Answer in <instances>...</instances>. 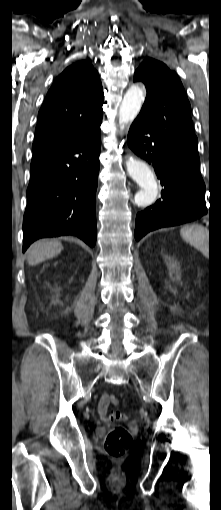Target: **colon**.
Instances as JSON below:
<instances>
[{
	"label": "colon",
	"mask_w": 221,
	"mask_h": 510,
	"mask_svg": "<svg viewBox=\"0 0 221 510\" xmlns=\"http://www.w3.org/2000/svg\"><path fill=\"white\" fill-rule=\"evenodd\" d=\"M118 399L112 396L110 404L118 405ZM110 422L125 421L126 416L122 413L113 411L109 415ZM133 439L128 430L122 426H115L106 435L104 448L106 453L113 458L124 456L132 447Z\"/></svg>",
	"instance_id": "colon-1"
}]
</instances>
